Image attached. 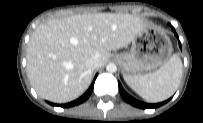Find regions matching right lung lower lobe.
<instances>
[{"label": "right lung lower lobe", "mask_w": 203, "mask_h": 123, "mask_svg": "<svg viewBox=\"0 0 203 123\" xmlns=\"http://www.w3.org/2000/svg\"><path fill=\"white\" fill-rule=\"evenodd\" d=\"M97 75L95 76L91 86L89 87V89L77 100L75 101H72L70 103H67V104H61V105H58V104H52V105H55V106H61V107H72V106H75V105H79L80 103H83L84 101H86L89 96L91 95L92 91H93V88H94V82H95V79H96Z\"/></svg>", "instance_id": "obj_1"}]
</instances>
